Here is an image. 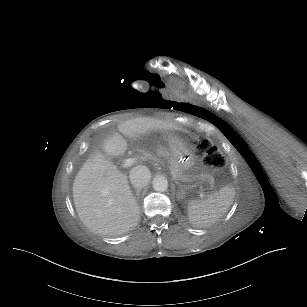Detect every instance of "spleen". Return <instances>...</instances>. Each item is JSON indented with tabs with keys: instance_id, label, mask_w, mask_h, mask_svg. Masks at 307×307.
<instances>
[{
	"instance_id": "obj_1",
	"label": "spleen",
	"mask_w": 307,
	"mask_h": 307,
	"mask_svg": "<svg viewBox=\"0 0 307 307\" xmlns=\"http://www.w3.org/2000/svg\"><path fill=\"white\" fill-rule=\"evenodd\" d=\"M234 190L227 185L205 200H196L189 207V218L198 227H206L221 219L234 199Z\"/></svg>"
}]
</instances>
